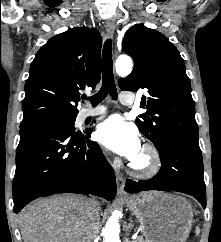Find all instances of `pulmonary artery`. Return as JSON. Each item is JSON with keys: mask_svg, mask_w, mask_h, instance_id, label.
Returning <instances> with one entry per match:
<instances>
[{"mask_svg": "<svg viewBox=\"0 0 221 242\" xmlns=\"http://www.w3.org/2000/svg\"><path fill=\"white\" fill-rule=\"evenodd\" d=\"M120 101L124 105H132L134 100L131 93L123 92L120 96ZM105 112L104 107L86 108L82 111V118L87 119L90 117H96L102 115Z\"/></svg>", "mask_w": 221, "mask_h": 242, "instance_id": "pulmonary-artery-1", "label": "pulmonary artery"}]
</instances>
